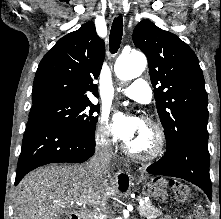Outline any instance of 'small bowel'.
I'll use <instances>...</instances> for the list:
<instances>
[{"label": "small bowel", "instance_id": "small-bowel-1", "mask_svg": "<svg viewBox=\"0 0 221 219\" xmlns=\"http://www.w3.org/2000/svg\"><path fill=\"white\" fill-rule=\"evenodd\" d=\"M160 219H169V218H160Z\"/></svg>", "mask_w": 221, "mask_h": 219}]
</instances>
